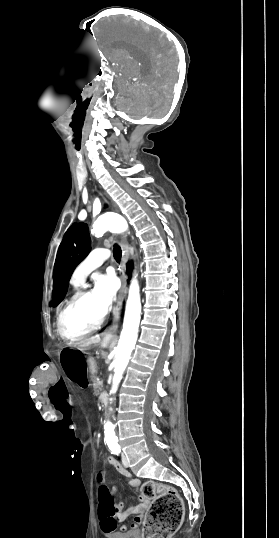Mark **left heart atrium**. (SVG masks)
I'll use <instances>...</instances> for the list:
<instances>
[{
	"mask_svg": "<svg viewBox=\"0 0 279 538\" xmlns=\"http://www.w3.org/2000/svg\"><path fill=\"white\" fill-rule=\"evenodd\" d=\"M118 287L119 280L113 271L97 276L93 293L98 297L104 312L110 309Z\"/></svg>",
	"mask_w": 279,
	"mask_h": 538,
	"instance_id": "left-heart-atrium-1",
	"label": "left heart atrium"
}]
</instances>
